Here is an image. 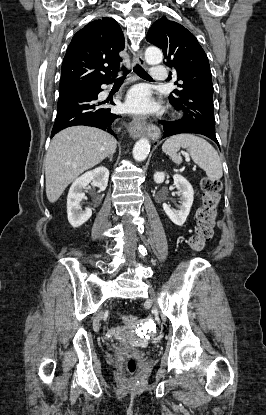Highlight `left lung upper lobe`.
<instances>
[{"instance_id": "left-lung-upper-lobe-1", "label": "left lung upper lobe", "mask_w": 266, "mask_h": 415, "mask_svg": "<svg viewBox=\"0 0 266 415\" xmlns=\"http://www.w3.org/2000/svg\"><path fill=\"white\" fill-rule=\"evenodd\" d=\"M146 40L163 50L164 63L180 81L175 82L178 89L170 94V103L184 112V121L215 132L212 75L197 39L181 24L163 17L150 27Z\"/></svg>"}]
</instances>
